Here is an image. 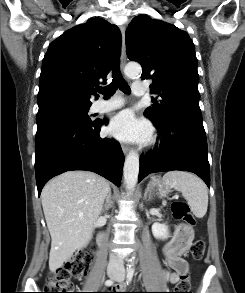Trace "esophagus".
Listing matches in <instances>:
<instances>
[{
    "mask_svg": "<svg viewBox=\"0 0 245 293\" xmlns=\"http://www.w3.org/2000/svg\"><path fill=\"white\" fill-rule=\"evenodd\" d=\"M120 31H121V35H122L120 66H121V70H123L124 66L126 64V39H125V26L124 25H120ZM122 151L124 154H127L129 151V146L122 145Z\"/></svg>",
    "mask_w": 245,
    "mask_h": 293,
    "instance_id": "34e87169",
    "label": "esophagus"
}]
</instances>
